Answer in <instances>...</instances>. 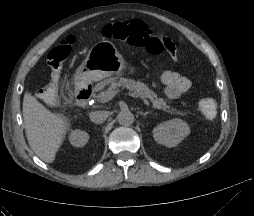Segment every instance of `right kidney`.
<instances>
[{
	"mask_svg": "<svg viewBox=\"0 0 254 216\" xmlns=\"http://www.w3.org/2000/svg\"><path fill=\"white\" fill-rule=\"evenodd\" d=\"M89 140V134L82 130H74L69 135L70 144L74 147H83Z\"/></svg>",
	"mask_w": 254,
	"mask_h": 216,
	"instance_id": "right-kidney-1",
	"label": "right kidney"
}]
</instances>
